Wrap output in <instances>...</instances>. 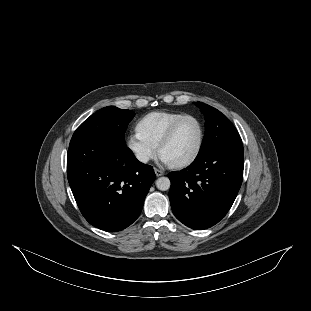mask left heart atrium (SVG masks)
<instances>
[{"mask_svg": "<svg viewBox=\"0 0 311 311\" xmlns=\"http://www.w3.org/2000/svg\"><path fill=\"white\" fill-rule=\"evenodd\" d=\"M161 161H162L163 163H165V164H168V162H167L164 158H162V157H161Z\"/></svg>", "mask_w": 311, "mask_h": 311, "instance_id": "1", "label": "left heart atrium"}]
</instances>
